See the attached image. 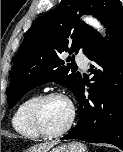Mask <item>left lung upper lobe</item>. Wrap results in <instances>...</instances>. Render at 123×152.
Segmentation results:
<instances>
[{"mask_svg":"<svg viewBox=\"0 0 123 152\" xmlns=\"http://www.w3.org/2000/svg\"><path fill=\"white\" fill-rule=\"evenodd\" d=\"M119 5V0H62L56 9L37 18L15 56L8 90L9 105L14 106L29 90L49 81L59 83L76 95L82 77L74 73L73 58L72 64L65 65L60 56L68 51L86 55L100 37L77 17L92 14L105 24Z\"/></svg>","mask_w":123,"mask_h":152,"instance_id":"left-lung-upper-lobe-1","label":"left lung upper lobe"}]
</instances>
